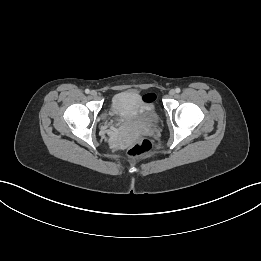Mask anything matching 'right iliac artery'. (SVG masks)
<instances>
[{
  "instance_id": "right-iliac-artery-1",
  "label": "right iliac artery",
  "mask_w": 261,
  "mask_h": 261,
  "mask_svg": "<svg viewBox=\"0 0 261 261\" xmlns=\"http://www.w3.org/2000/svg\"><path fill=\"white\" fill-rule=\"evenodd\" d=\"M85 93H86V94H89V93H90V90H89V89H86V90H85Z\"/></svg>"
}]
</instances>
